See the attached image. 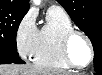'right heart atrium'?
I'll return each mask as SVG.
<instances>
[{"label": "right heart atrium", "instance_id": "d8ad5b80", "mask_svg": "<svg viewBox=\"0 0 102 75\" xmlns=\"http://www.w3.org/2000/svg\"><path fill=\"white\" fill-rule=\"evenodd\" d=\"M38 27L35 15L29 11L17 25L15 31L16 46L22 57L29 59L36 48Z\"/></svg>", "mask_w": 102, "mask_h": 75}]
</instances>
